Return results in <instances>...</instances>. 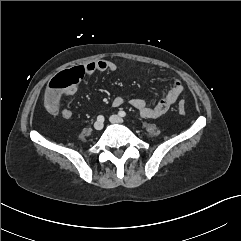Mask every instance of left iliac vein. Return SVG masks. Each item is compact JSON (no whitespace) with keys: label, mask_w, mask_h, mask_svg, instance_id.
<instances>
[{"label":"left iliac vein","mask_w":241,"mask_h":241,"mask_svg":"<svg viewBox=\"0 0 241 241\" xmlns=\"http://www.w3.org/2000/svg\"><path fill=\"white\" fill-rule=\"evenodd\" d=\"M111 123L122 124L124 120L118 115H111L109 118Z\"/></svg>","instance_id":"1"}]
</instances>
